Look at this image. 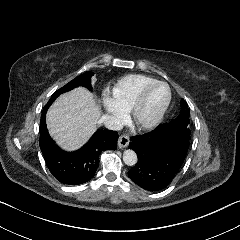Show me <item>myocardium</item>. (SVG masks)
Masks as SVG:
<instances>
[{
  "instance_id": "1",
  "label": "myocardium",
  "mask_w": 240,
  "mask_h": 240,
  "mask_svg": "<svg viewBox=\"0 0 240 240\" xmlns=\"http://www.w3.org/2000/svg\"><path fill=\"white\" fill-rule=\"evenodd\" d=\"M157 86H163L166 89V96L160 107L147 117H143V111L149 94ZM171 91L170 87L165 82L155 81L143 89L138 99L132 108L126 113L127 122L131 123L132 127L136 131H147L154 128L164 117V114L170 104Z\"/></svg>"
}]
</instances>
